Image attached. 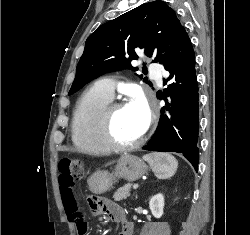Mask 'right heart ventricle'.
I'll return each mask as SVG.
<instances>
[{"mask_svg":"<svg viewBox=\"0 0 250 235\" xmlns=\"http://www.w3.org/2000/svg\"><path fill=\"white\" fill-rule=\"evenodd\" d=\"M111 100L95 85L79 98L73 111L71 131L73 144L80 153L101 155L110 151L100 138L99 120L103 108Z\"/></svg>","mask_w":250,"mask_h":235,"instance_id":"e07e8e85","label":"right heart ventricle"}]
</instances>
